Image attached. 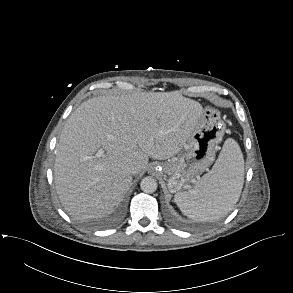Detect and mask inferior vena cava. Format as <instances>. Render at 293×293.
<instances>
[{"label": "inferior vena cava", "mask_w": 293, "mask_h": 293, "mask_svg": "<svg viewBox=\"0 0 293 293\" xmlns=\"http://www.w3.org/2000/svg\"><path fill=\"white\" fill-rule=\"evenodd\" d=\"M138 170V167L135 164H128L126 166V171L131 174H135Z\"/></svg>", "instance_id": "inferior-vena-cava-1"}]
</instances>
